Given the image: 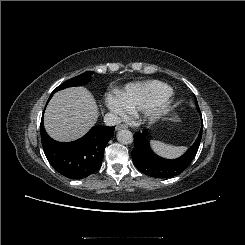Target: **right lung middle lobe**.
<instances>
[{
  "mask_svg": "<svg viewBox=\"0 0 245 245\" xmlns=\"http://www.w3.org/2000/svg\"><path fill=\"white\" fill-rule=\"evenodd\" d=\"M92 71H87L81 75H78L74 78H71L69 80H67L66 82H64L63 84H61L60 86H58L54 91L53 93L59 91V90H62L64 88H67V87H72V86H81V85H84L86 83L89 82L90 80V77L92 75Z\"/></svg>",
  "mask_w": 245,
  "mask_h": 245,
  "instance_id": "1",
  "label": "right lung middle lobe"
}]
</instances>
